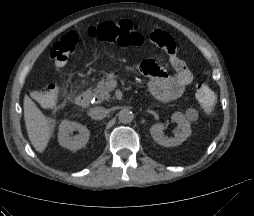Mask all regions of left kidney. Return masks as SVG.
Returning a JSON list of instances; mask_svg holds the SVG:
<instances>
[{
    "instance_id": "obj_1",
    "label": "left kidney",
    "mask_w": 254,
    "mask_h": 216,
    "mask_svg": "<svg viewBox=\"0 0 254 216\" xmlns=\"http://www.w3.org/2000/svg\"><path fill=\"white\" fill-rule=\"evenodd\" d=\"M171 119L174 122L178 123L180 129V132L177 133L173 138H169L164 134L163 130L165 126L162 123L154 124L150 128V134L154 141L164 147L178 146L184 142L192 133L190 123L185 119V116L182 113H173Z\"/></svg>"
}]
</instances>
